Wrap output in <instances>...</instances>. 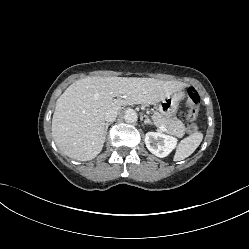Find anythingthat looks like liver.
Masks as SVG:
<instances>
[{"mask_svg": "<svg viewBox=\"0 0 249 249\" xmlns=\"http://www.w3.org/2000/svg\"><path fill=\"white\" fill-rule=\"evenodd\" d=\"M184 83L137 77H87L72 83L57 99L52 137L68 157L95 158L105 139V113L113 107L156 104L182 89ZM117 98L116 97H122Z\"/></svg>", "mask_w": 249, "mask_h": 249, "instance_id": "liver-1", "label": "liver"}]
</instances>
